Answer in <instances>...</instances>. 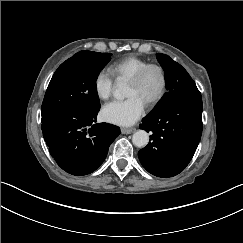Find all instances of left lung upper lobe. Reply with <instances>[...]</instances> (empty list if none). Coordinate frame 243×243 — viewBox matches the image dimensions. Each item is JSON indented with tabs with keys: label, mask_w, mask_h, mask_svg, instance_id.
Masks as SVG:
<instances>
[{
	"label": "left lung upper lobe",
	"mask_w": 243,
	"mask_h": 243,
	"mask_svg": "<svg viewBox=\"0 0 243 243\" xmlns=\"http://www.w3.org/2000/svg\"><path fill=\"white\" fill-rule=\"evenodd\" d=\"M164 72L167 92L147 116H153L163 109L168 103L182 96H201L195 82L188 72L168 55L157 53Z\"/></svg>",
	"instance_id": "5c2ea615"
}]
</instances>
